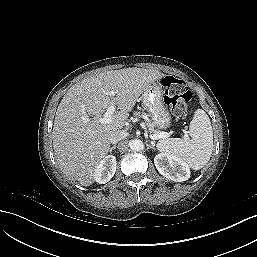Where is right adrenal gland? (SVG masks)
I'll return each instance as SVG.
<instances>
[{"label":"right adrenal gland","instance_id":"1","mask_svg":"<svg viewBox=\"0 0 257 257\" xmlns=\"http://www.w3.org/2000/svg\"><path fill=\"white\" fill-rule=\"evenodd\" d=\"M114 149H116V144L110 148V152H112Z\"/></svg>","mask_w":257,"mask_h":257}]
</instances>
